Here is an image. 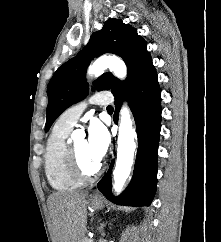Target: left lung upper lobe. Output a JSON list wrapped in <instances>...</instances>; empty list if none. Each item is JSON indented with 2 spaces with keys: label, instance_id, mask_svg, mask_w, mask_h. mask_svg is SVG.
<instances>
[{
  "label": "left lung upper lobe",
  "instance_id": "obj_1",
  "mask_svg": "<svg viewBox=\"0 0 221 242\" xmlns=\"http://www.w3.org/2000/svg\"><path fill=\"white\" fill-rule=\"evenodd\" d=\"M104 53H114L125 61L128 77L125 82L115 78L110 72L100 76L95 82L97 90H112L115 93L125 87L138 74L153 65L145 40L137 34V29L124 24L121 19L107 20L100 31L94 32L89 43L75 57L61 65L47 86L49 103L45 131L70 105L81 101L88 93L85 74L94 57Z\"/></svg>",
  "mask_w": 221,
  "mask_h": 242
}]
</instances>
